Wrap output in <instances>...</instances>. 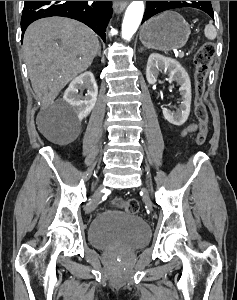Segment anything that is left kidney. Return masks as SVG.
<instances>
[{"mask_svg":"<svg viewBox=\"0 0 237 300\" xmlns=\"http://www.w3.org/2000/svg\"><path fill=\"white\" fill-rule=\"evenodd\" d=\"M169 71L171 81H177L180 85L179 93L182 97V103L177 111H169L162 109V113L172 125H184L186 123L191 109V81L188 73L183 69L182 65L176 59L170 57H162L158 53H152L147 61L146 77L149 85L157 83L159 71Z\"/></svg>","mask_w":237,"mask_h":300,"instance_id":"obj_1","label":"left kidney"}]
</instances>
